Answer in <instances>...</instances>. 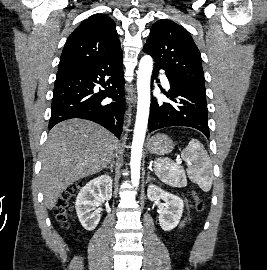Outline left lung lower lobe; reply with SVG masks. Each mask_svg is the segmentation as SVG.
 Returning <instances> with one entry per match:
<instances>
[{
	"instance_id": "0a47b994",
	"label": "left lung lower lobe",
	"mask_w": 267,
	"mask_h": 270,
	"mask_svg": "<svg viewBox=\"0 0 267 270\" xmlns=\"http://www.w3.org/2000/svg\"><path fill=\"white\" fill-rule=\"evenodd\" d=\"M159 70L154 65L151 84ZM168 97L171 103H158L155 98L151 99L149 132L170 126H187L198 129L209 138L206 95L170 82Z\"/></svg>"
}]
</instances>
